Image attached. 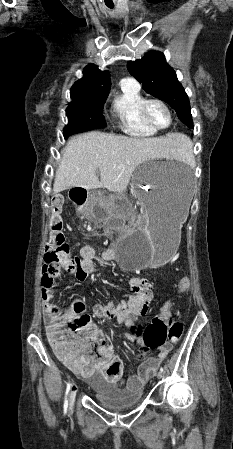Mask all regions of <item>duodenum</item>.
<instances>
[{
    "instance_id": "duodenum-1",
    "label": "duodenum",
    "mask_w": 233,
    "mask_h": 449,
    "mask_svg": "<svg viewBox=\"0 0 233 449\" xmlns=\"http://www.w3.org/2000/svg\"><path fill=\"white\" fill-rule=\"evenodd\" d=\"M89 198V186H72L70 199L72 206H85Z\"/></svg>"
}]
</instances>
